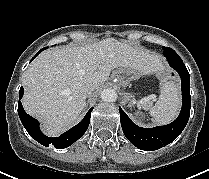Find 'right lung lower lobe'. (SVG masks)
<instances>
[{
  "label": "right lung lower lobe",
  "instance_id": "98d812e1",
  "mask_svg": "<svg viewBox=\"0 0 209 179\" xmlns=\"http://www.w3.org/2000/svg\"><path fill=\"white\" fill-rule=\"evenodd\" d=\"M44 49L45 48L41 49L33 57V59ZM23 92H24V89H23V87H21L20 91H19L20 98H19V102H18V114H19V117H20V120H21L23 126L26 128L29 135L32 138H34L36 141H38L40 144H42L46 147H48L49 145H53L57 149H63V148L70 146L75 141H77L87 130V128L89 126V122H90L91 111L93 110V108H91L87 112L84 119L79 124H77L76 126L71 128L70 130H68L64 134L60 135L59 137H55V138L47 137L46 135H44L41 132V130L39 128V122L24 111L21 101H20V99L23 96Z\"/></svg>",
  "mask_w": 209,
  "mask_h": 179
}]
</instances>
